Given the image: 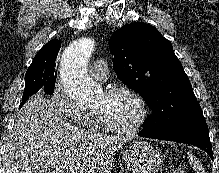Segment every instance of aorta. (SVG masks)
Here are the masks:
<instances>
[{"label":"aorta","instance_id":"obj_1","mask_svg":"<svg viewBox=\"0 0 219 173\" xmlns=\"http://www.w3.org/2000/svg\"><path fill=\"white\" fill-rule=\"evenodd\" d=\"M94 46L93 39L80 38L72 42L61 57L60 76L64 90L79 102L92 101L100 92L99 86L87 73Z\"/></svg>","mask_w":219,"mask_h":173}]
</instances>
